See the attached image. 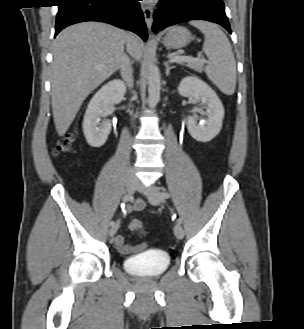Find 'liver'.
Returning <instances> with one entry per match:
<instances>
[{"label": "liver", "instance_id": "1", "mask_svg": "<svg viewBox=\"0 0 304 329\" xmlns=\"http://www.w3.org/2000/svg\"><path fill=\"white\" fill-rule=\"evenodd\" d=\"M139 61L143 42L133 33L99 22H82L61 31L53 43L52 111L63 136L86 97L120 65L124 45Z\"/></svg>", "mask_w": 304, "mask_h": 329}]
</instances>
